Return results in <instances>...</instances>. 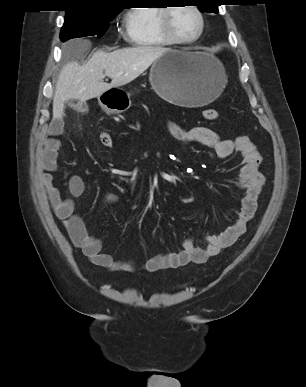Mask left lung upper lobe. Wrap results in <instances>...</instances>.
Returning <instances> with one entry per match:
<instances>
[{
  "instance_id": "5c2ea615",
  "label": "left lung upper lobe",
  "mask_w": 306,
  "mask_h": 387,
  "mask_svg": "<svg viewBox=\"0 0 306 387\" xmlns=\"http://www.w3.org/2000/svg\"><path fill=\"white\" fill-rule=\"evenodd\" d=\"M220 0H195L198 9L201 12L217 13Z\"/></svg>"
}]
</instances>
